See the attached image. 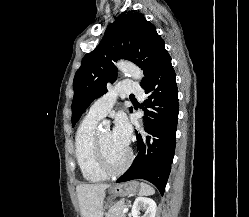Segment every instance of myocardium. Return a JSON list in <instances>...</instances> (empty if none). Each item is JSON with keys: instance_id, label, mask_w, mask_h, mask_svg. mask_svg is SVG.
<instances>
[{"instance_id": "obj_1", "label": "myocardium", "mask_w": 249, "mask_h": 217, "mask_svg": "<svg viewBox=\"0 0 249 217\" xmlns=\"http://www.w3.org/2000/svg\"><path fill=\"white\" fill-rule=\"evenodd\" d=\"M95 148H96V153H97L100 167L107 175L121 174L128 168V166L132 162L133 153L130 149H126V156H125L124 161L119 166H113L110 163L105 153L99 134H96V137H95Z\"/></svg>"}]
</instances>
